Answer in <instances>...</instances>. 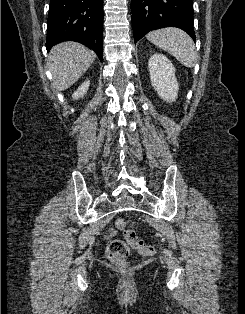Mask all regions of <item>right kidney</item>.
I'll list each match as a JSON object with an SVG mask.
<instances>
[{
    "mask_svg": "<svg viewBox=\"0 0 245 314\" xmlns=\"http://www.w3.org/2000/svg\"><path fill=\"white\" fill-rule=\"evenodd\" d=\"M90 82L89 81H85L84 83H82V85L77 89V91L72 95L73 99H79V98H83V96L87 93V90L89 88Z\"/></svg>",
    "mask_w": 245,
    "mask_h": 314,
    "instance_id": "1",
    "label": "right kidney"
}]
</instances>
